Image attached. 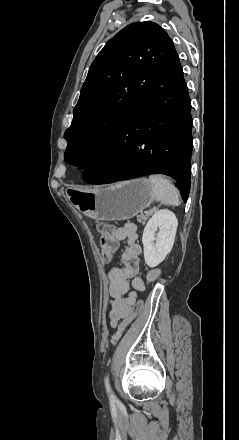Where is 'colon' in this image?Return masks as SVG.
<instances>
[{
  "label": "colon",
  "mask_w": 239,
  "mask_h": 440,
  "mask_svg": "<svg viewBox=\"0 0 239 440\" xmlns=\"http://www.w3.org/2000/svg\"><path fill=\"white\" fill-rule=\"evenodd\" d=\"M96 230L100 236L101 250L102 254L106 259H109L114 251L116 245L115 239V227L111 224L105 223L103 221L95 222ZM161 275L160 269H153L147 275V282L151 283L155 281ZM143 308V302L138 301L133 306L131 313L120 323L117 330L113 334L112 340L113 344L116 345L118 341L121 339L127 327L131 324V322L137 317V315L141 312Z\"/></svg>",
  "instance_id": "obj_1"
}]
</instances>
